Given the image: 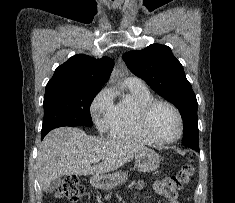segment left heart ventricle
<instances>
[{"label": "left heart ventricle", "instance_id": "1", "mask_svg": "<svg viewBox=\"0 0 235 203\" xmlns=\"http://www.w3.org/2000/svg\"><path fill=\"white\" fill-rule=\"evenodd\" d=\"M150 130L162 139H171L179 132V123L175 113L166 105H158L151 113Z\"/></svg>", "mask_w": 235, "mask_h": 203}]
</instances>
